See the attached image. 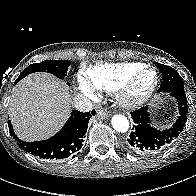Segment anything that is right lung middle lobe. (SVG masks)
Masks as SVG:
<instances>
[{
    "instance_id": "obj_1",
    "label": "right lung middle lobe",
    "mask_w": 196,
    "mask_h": 196,
    "mask_svg": "<svg viewBox=\"0 0 196 196\" xmlns=\"http://www.w3.org/2000/svg\"><path fill=\"white\" fill-rule=\"evenodd\" d=\"M69 65L70 62L67 60H46L40 63H34L24 69L16 81H19L28 74L34 72H48L57 76L58 78H64L68 71Z\"/></svg>"
}]
</instances>
